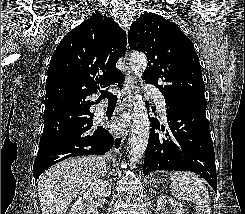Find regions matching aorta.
Instances as JSON below:
<instances>
[{
	"label": "aorta",
	"mask_w": 245,
	"mask_h": 214,
	"mask_svg": "<svg viewBox=\"0 0 245 214\" xmlns=\"http://www.w3.org/2000/svg\"><path fill=\"white\" fill-rule=\"evenodd\" d=\"M132 72L140 78L147 67V58L141 52H133L129 59ZM133 124L128 142V158L131 164L139 161L149 140L150 122L144 98L139 87H135L133 97Z\"/></svg>",
	"instance_id": "1"
}]
</instances>
